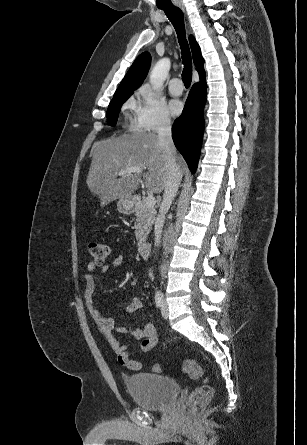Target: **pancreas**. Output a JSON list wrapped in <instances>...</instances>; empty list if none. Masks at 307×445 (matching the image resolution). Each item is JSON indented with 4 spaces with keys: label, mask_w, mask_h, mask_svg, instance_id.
Instances as JSON below:
<instances>
[{
    "label": "pancreas",
    "mask_w": 307,
    "mask_h": 445,
    "mask_svg": "<svg viewBox=\"0 0 307 445\" xmlns=\"http://www.w3.org/2000/svg\"><path fill=\"white\" fill-rule=\"evenodd\" d=\"M156 208L154 206H146L145 200L138 202L135 210L136 220L134 223L135 237L138 241L137 245H143L146 241L148 233L152 229V225L156 218Z\"/></svg>",
    "instance_id": "cf45deb5"
}]
</instances>
